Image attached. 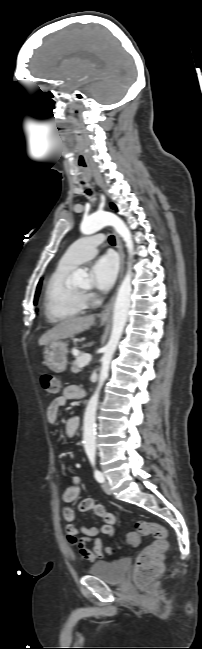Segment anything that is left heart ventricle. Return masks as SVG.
Here are the masks:
<instances>
[{"label": "left heart ventricle", "mask_w": 202, "mask_h": 649, "mask_svg": "<svg viewBox=\"0 0 202 649\" xmlns=\"http://www.w3.org/2000/svg\"><path fill=\"white\" fill-rule=\"evenodd\" d=\"M88 287H89V284H85V285H83V286H80L79 288H80L81 290H85V289H87Z\"/></svg>", "instance_id": "1"}]
</instances>
